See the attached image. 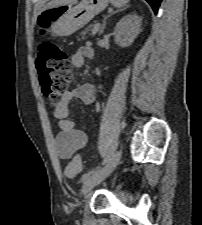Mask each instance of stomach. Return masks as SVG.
I'll return each instance as SVG.
<instances>
[{
    "instance_id": "obj_1",
    "label": "stomach",
    "mask_w": 202,
    "mask_h": 225,
    "mask_svg": "<svg viewBox=\"0 0 202 225\" xmlns=\"http://www.w3.org/2000/svg\"><path fill=\"white\" fill-rule=\"evenodd\" d=\"M110 0H82L77 5H60L46 9L54 14L56 19L52 22L50 28L54 36H70L87 23H89L97 14L103 11Z\"/></svg>"
}]
</instances>
